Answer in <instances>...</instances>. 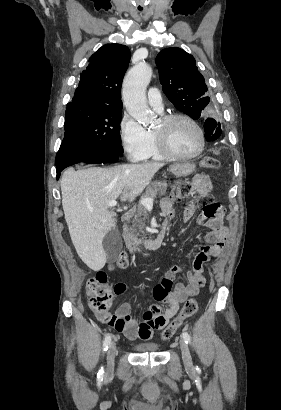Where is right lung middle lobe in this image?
<instances>
[{"mask_svg":"<svg viewBox=\"0 0 281 410\" xmlns=\"http://www.w3.org/2000/svg\"><path fill=\"white\" fill-rule=\"evenodd\" d=\"M120 122L121 109L67 106L65 134L55 164L77 155H122Z\"/></svg>","mask_w":281,"mask_h":410,"instance_id":"dd1d6c3e","label":"right lung middle lobe"}]
</instances>
